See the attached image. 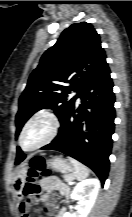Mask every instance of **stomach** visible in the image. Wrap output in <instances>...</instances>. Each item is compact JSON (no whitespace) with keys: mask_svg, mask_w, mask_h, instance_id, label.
Here are the masks:
<instances>
[{"mask_svg":"<svg viewBox=\"0 0 132 217\" xmlns=\"http://www.w3.org/2000/svg\"><path fill=\"white\" fill-rule=\"evenodd\" d=\"M46 165L52 168L53 170H56L61 173L67 174L73 172V167L71 163H69L66 159L62 158L61 156H55L50 160H46ZM27 172V168L21 169L14 180V184L17 186L23 184L27 177Z\"/></svg>","mask_w":132,"mask_h":217,"instance_id":"obj_1","label":"stomach"}]
</instances>
